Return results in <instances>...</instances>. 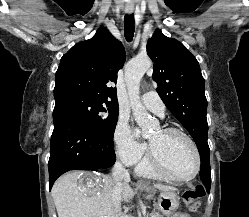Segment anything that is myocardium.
<instances>
[{
    "label": "myocardium",
    "mask_w": 249,
    "mask_h": 217,
    "mask_svg": "<svg viewBox=\"0 0 249 217\" xmlns=\"http://www.w3.org/2000/svg\"><path fill=\"white\" fill-rule=\"evenodd\" d=\"M161 131L163 133H165V134L180 135L184 139L187 140V142L190 144L191 148L193 149V152H194V155H195V160H196L195 169L192 172V174H190L189 176H186V177H178V176L173 175L165 167V165L163 164L161 159L158 157V155L156 154V152L153 149L151 144H149L148 153H147V159H148V162H149L150 166L161 177H163L165 179H168V180H171V181L187 182V181L193 180L197 176V174L199 173L200 168H201V156H200V152H199V149H198L195 141L192 139V137L189 134H187L185 131H183V130H181L179 128L164 127V128L161 129Z\"/></svg>",
    "instance_id": "f54148a6"
}]
</instances>
